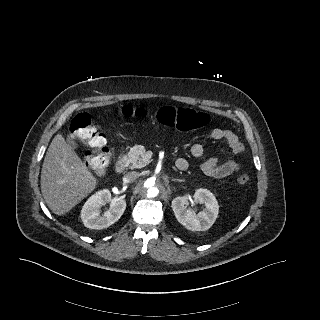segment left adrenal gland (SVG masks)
<instances>
[{
	"instance_id": "1",
	"label": "left adrenal gland",
	"mask_w": 320,
	"mask_h": 320,
	"mask_svg": "<svg viewBox=\"0 0 320 320\" xmlns=\"http://www.w3.org/2000/svg\"><path fill=\"white\" fill-rule=\"evenodd\" d=\"M172 181H176V182H184L185 180H181V179H172Z\"/></svg>"
}]
</instances>
